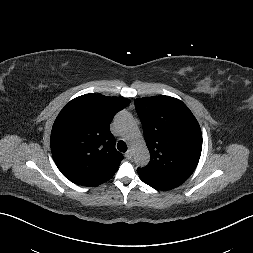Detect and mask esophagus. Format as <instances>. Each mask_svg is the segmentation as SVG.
Masks as SVG:
<instances>
[{"label":"esophagus","mask_w":253,"mask_h":253,"mask_svg":"<svg viewBox=\"0 0 253 253\" xmlns=\"http://www.w3.org/2000/svg\"><path fill=\"white\" fill-rule=\"evenodd\" d=\"M125 157L126 159H131L132 158V152L130 150H128L126 153H125Z\"/></svg>","instance_id":"1"}]
</instances>
